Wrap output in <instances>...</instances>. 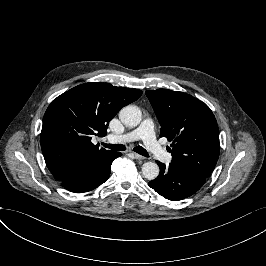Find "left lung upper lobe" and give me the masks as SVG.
Instances as JSON below:
<instances>
[{
  "label": "left lung upper lobe",
  "mask_w": 266,
  "mask_h": 266,
  "mask_svg": "<svg viewBox=\"0 0 266 266\" xmlns=\"http://www.w3.org/2000/svg\"><path fill=\"white\" fill-rule=\"evenodd\" d=\"M146 95L160 122V137L172 141V163L208 177L220 152L218 125L210 108L183 92L158 89Z\"/></svg>",
  "instance_id": "left-lung-upper-lobe-1"
}]
</instances>
